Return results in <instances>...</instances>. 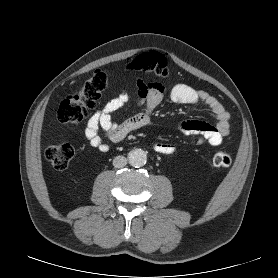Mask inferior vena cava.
<instances>
[{
  "mask_svg": "<svg viewBox=\"0 0 278 278\" xmlns=\"http://www.w3.org/2000/svg\"><path fill=\"white\" fill-rule=\"evenodd\" d=\"M127 164V159L124 156H116L113 159V166L115 168H122Z\"/></svg>",
  "mask_w": 278,
  "mask_h": 278,
  "instance_id": "obj_1",
  "label": "inferior vena cava"
}]
</instances>
